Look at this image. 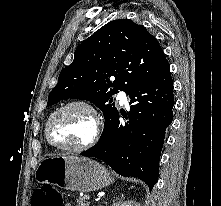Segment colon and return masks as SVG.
Here are the masks:
<instances>
[{
  "label": "colon",
  "mask_w": 221,
  "mask_h": 206,
  "mask_svg": "<svg viewBox=\"0 0 221 206\" xmlns=\"http://www.w3.org/2000/svg\"><path fill=\"white\" fill-rule=\"evenodd\" d=\"M32 206H65V204L61 193L49 187H41L33 192Z\"/></svg>",
  "instance_id": "5ec220e1"
}]
</instances>
